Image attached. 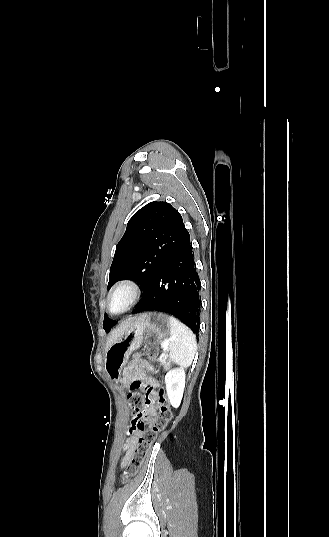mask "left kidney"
<instances>
[{
  "label": "left kidney",
  "instance_id": "obj_1",
  "mask_svg": "<svg viewBox=\"0 0 329 537\" xmlns=\"http://www.w3.org/2000/svg\"><path fill=\"white\" fill-rule=\"evenodd\" d=\"M185 371L183 368L170 370L165 376L167 396L171 405L180 406L185 388Z\"/></svg>",
  "mask_w": 329,
  "mask_h": 537
}]
</instances>
